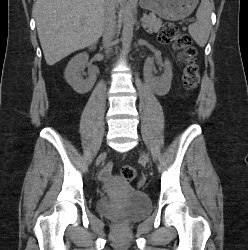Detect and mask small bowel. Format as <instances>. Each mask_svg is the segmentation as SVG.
<instances>
[{
	"instance_id": "c3829d8e",
	"label": "small bowel",
	"mask_w": 248,
	"mask_h": 250,
	"mask_svg": "<svg viewBox=\"0 0 248 250\" xmlns=\"http://www.w3.org/2000/svg\"><path fill=\"white\" fill-rule=\"evenodd\" d=\"M178 59L181 60L182 56H178ZM110 174V169L108 167H105L102 171L103 178H108Z\"/></svg>"
}]
</instances>
